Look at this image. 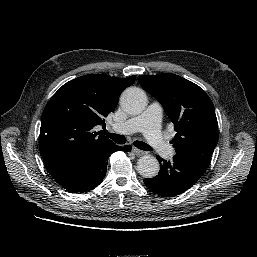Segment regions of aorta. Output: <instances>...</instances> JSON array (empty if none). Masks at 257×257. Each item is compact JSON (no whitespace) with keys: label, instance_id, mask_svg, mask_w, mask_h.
Segmentation results:
<instances>
[{"label":"aorta","instance_id":"762f6f07","mask_svg":"<svg viewBox=\"0 0 257 257\" xmlns=\"http://www.w3.org/2000/svg\"><path fill=\"white\" fill-rule=\"evenodd\" d=\"M120 104L125 112L137 115L145 109L147 96L140 88L131 87L122 93ZM137 171L142 177L153 178L159 172V162L154 156H142L137 162Z\"/></svg>","mask_w":257,"mask_h":257}]
</instances>
